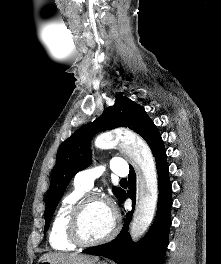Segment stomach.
<instances>
[{"label": "stomach", "instance_id": "obj_1", "mask_svg": "<svg viewBox=\"0 0 221 264\" xmlns=\"http://www.w3.org/2000/svg\"><path fill=\"white\" fill-rule=\"evenodd\" d=\"M39 264H54V263H53V262H49V261H45V260H43V261H40ZM99 264H107V263H105V262H100Z\"/></svg>", "mask_w": 221, "mask_h": 264}]
</instances>
